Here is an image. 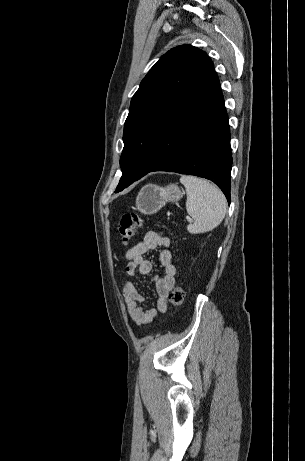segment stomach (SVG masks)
Wrapping results in <instances>:
<instances>
[{
  "label": "stomach",
  "mask_w": 305,
  "mask_h": 461,
  "mask_svg": "<svg viewBox=\"0 0 305 461\" xmlns=\"http://www.w3.org/2000/svg\"><path fill=\"white\" fill-rule=\"evenodd\" d=\"M182 196L183 192L177 184L167 187L148 184L138 193L136 207L141 213L151 215L158 212L167 202H178Z\"/></svg>",
  "instance_id": "obj_1"
}]
</instances>
